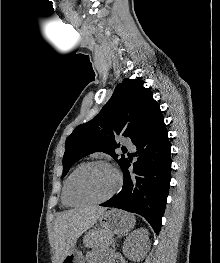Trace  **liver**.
<instances>
[{"label": "liver", "instance_id": "obj_1", "mask_svg": "<svg viewBox=\"0 0 220 263\" xmlns=\"http://www.w3.org/2000/svg\"><path fill=\"white\" fill-rule=\"evenodd\" d=\"M106 208L89 206L68 210L57 216L53 227L56 263H62L77 239L98 220Z\"/></svg>", "mask_w": 220, "mask_h": 263}]
</instances>
